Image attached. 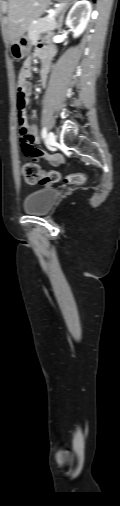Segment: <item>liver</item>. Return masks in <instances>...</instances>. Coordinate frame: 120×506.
<instances>
[{
	"mask_svg": "<svg viewBox=\"0 0 120 506\" xmlns=\"http://www.w3.org/2000/svg\"><path fill=\"white\" fill-rule=\"evenodd\" d=\"M50 0H9V36L16 42L46 10Z\"/></svg>",
	"mask_w": 120,
	"mask_h": 506,
	"instance_id": "liver-1",
	"label": "liver"
}]
</instances>
